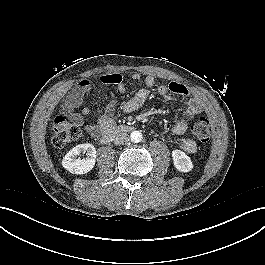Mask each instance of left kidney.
I'll return each instance as SVG.
<instances>
[{
    "mask_svg": "<svg viewBox=\"0 0 265 265\" xmlns=\"http://www.w3.org/2000/svg\"><path fill=\"white\" fill-rule=\"evenodd\" d=\"M173 164L175 168L180 172H189L193 168L192 161L189 156H187L181 150L172 151Z\"/></svg>",
    "mask_w": 265,
    "mask_h": 265,
    "instance_id": "5707ae66",
    "label": "left kidney"
}]
</instances>
